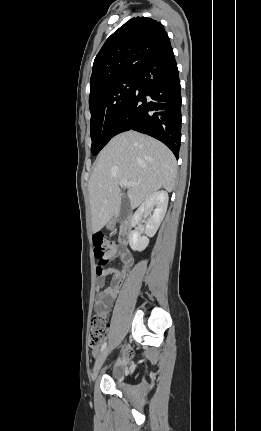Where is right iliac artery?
I'll use <instances>...</instances> for the list:
<instances>
[{
    "mask_svg": "<svg viewBox=\"0 0 261 431\" xmlns=\"http://www.w3.org/2000/svg\"><path fill=\"white\" fill-rule=\"evenodd\" d=\"M106 346H107V343L105 342L100 349L101 353L105 350Z\"/></svg>",
    "mask_w": 261,
    "mask_h": 431,
    "instance_id": "right-iliac-artery-1",
    "label": "right iliac artery"
}]
</instances>
